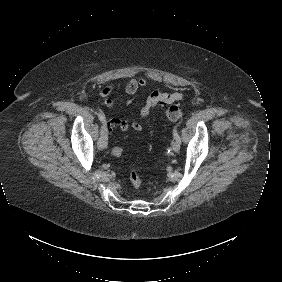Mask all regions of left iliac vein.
<instances>
[{"label": "left iliac vein", "instance_id": "obj_1", "mask_svg": "<svg viewBox=\"0 0 282 282\" xmlns=\"http://www.w3.org/2000/svg\"><path fill=\"white\" fill-rule=\"evenodd\" d=\"M172 150L175 153L179 152V150H180V142L176 139H174V141L172 143Z\"/></svg>", "mask_w": 282, "mask_h": 282}]
</instances>
